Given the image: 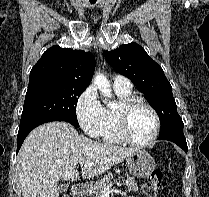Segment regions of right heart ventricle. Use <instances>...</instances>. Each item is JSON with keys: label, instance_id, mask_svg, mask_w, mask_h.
I'll return each mask as SVG.
<instances>
[{"label": "right heart ventricle", "instance_id": "right-heart-ventricle-1", "mask_svg": "<svg viewBox=\"0 0 209 197\" xmlns=\"http://www.w3.org/2000/svg\"><path fill=\"white\" fill-rule=\"evenodd\" d=\"M116 95L121 101L127 100L132 96L131 89H117L114 88ZM106 115L105 121L100 131V137L109 143H121L123 138L120 135L118 124H117V113L115 108H105Z\"/></svg>", "mask_w": 209, "mask_h": 197}]
</instances>
